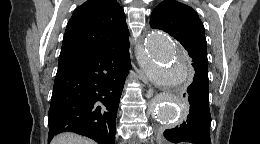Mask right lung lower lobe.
<instances>
[{"label": "right lung lower lobe", "instance_id": "98d812e1", "mask_svg": "<svg viewBox=\"0 0 260 144\" xmlns=\"http://www.w3.org/2000/svg\"><path fill=\"white\" fill-rule=\"evenodd\" d=\"M130 68L129 43L58 63L48 141L70 131L99 144H114L117 110Z\"/></svg>", "mask_w": 260, "mask_h": 144}]
</instances>
